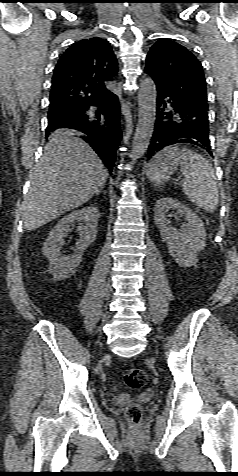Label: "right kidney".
Segmentation results:
<instances>
[{"label": "right kidney", "instance_id": "1", "mask_svg": "<svg viewBox=\"0 0 238 476\" xmlns=\"http://www.w3.org/2000/svg\"><path fill=\"white\" fill-rule=\"evenodd\" d=\"M99 217L97 207H85L63 217L51 230L42 251L49 260V272L54 279L64 280L75 272L82 261L83 252L95 240ZM75 221L85 223L84 226L78 227L80 239L76 243L74 253L71 256L62 257L60 250L65 243L63 238L70 232V226Z\"/></svg>", "mask_w": 238, "mask_h": 476}]
</instances>
